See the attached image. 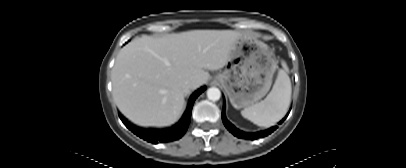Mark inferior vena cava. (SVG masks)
Instances as JSON below:
<instances>
[{
	"instance_id": "inferior-vena-cava-1",
	"label": "inferior vena cava",
	"mask_w": 406,
	"mask_h": 168,
	"mask_svg": "<svg viewBox=\"0 0 406 168\" xmlns=\"http://www.w3.org/2000/svg\"><path fill=\"white\" fill-rule=\"evenodd\" d=\"M193 88V82L187 81L184 85V92L188 93Z\"/></svg>"
}]
</instances>
